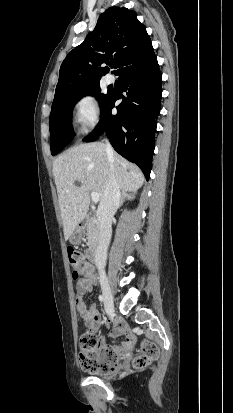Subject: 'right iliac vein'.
Instances as JSON below:
<instances>
[{"label":"right iliac vein","mask_w":233,"mask_h":413,"mask_svg":"<svg viewBox=\"0 0 233 413\" xmlns=\"http://www.w3.org/2000/svg\"><path fill=\"white\" fill-rule=\"evenodd\" d=\"M101 287H102V292L104 296L105 310L107 313L111 314L113 312L114 304H113V297H112L108 282L106 280H102Z\"/></svg>","instance_id":"63e3f726"}]
</instances>
